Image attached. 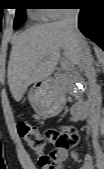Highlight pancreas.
Wrapping results in <instances>:
<instances>
[{
    "mask_svg": "<svg viewBox=\"0 0 104 169\" xmlns=\"http://www.w3.org/2000/svg\"><path fill=\"white\" fill-rule=\"evenodd\" d=\"M73 74H77V73L64 72L60 77L62 83L67 84V83L71 82L72 81L71 77H72ZM77 100H78V102H80L82 100L81 96H79Z\"/></svg>",
    "mask_w": 104,
    "mask_h": 169,
    "instance_id": "obj_1",
    "label": "pancreas"
}]
</instances>
